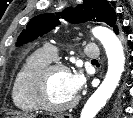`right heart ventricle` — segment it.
Listing matches in <instances>:
<instances>
[{
    "label": "right heart ventricle",
    "mask_w": 133,
    "mask_h": 118,
    "mask_svg": "<svg viewBox=\"0 0 133 118\" xmlns=\"http://www.w3.org/2000/svg\"><path fill=\"white\" fill-rule=\"evenodd\" d=\"M52 58L43 50H37L23 63L12 84L11 97L14 106L26 113L39 109L32 96V80L36 73L51 63Z\"/></svg>",
    "instance_id": "obj_1"
}]
</instances>
